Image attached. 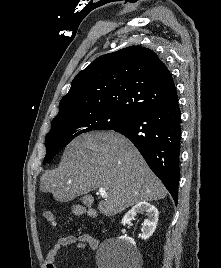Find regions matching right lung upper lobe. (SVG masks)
Segmentation results:
<instances>
[{
  "label": "right lung upper lobe",
  "instance_id": "1",
  "mask_svg": "<svg viewBox=\"0 0 221 268\" xmlns=\"http://www.w3.org/2000/svg\"><path fill=\"white\" fill-rule=\"evenodd\" d=\"M176 99L172 75L157 54L130 46L100 56L79 72L58 115L110 110L133 118Z\"/></svg>",
  "mask_w": 221,
  "mask_h": 268
}]
</instances>
